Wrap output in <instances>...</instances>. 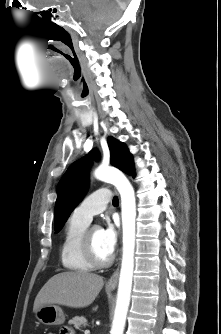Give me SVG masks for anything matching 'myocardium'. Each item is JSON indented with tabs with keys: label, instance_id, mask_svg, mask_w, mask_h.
<instances>
[{
	"label": "myocardium",
	"instance_id": "f54148a6",
	"mask_svg": "<svg viewBox=\"0 0 221 334\" xmlns=\"http://www.w3.org/2000/svg\"><path fill=\"white\" fill-rule=\"evenodd\" d=\"M96 226L87 227L82 236V251L86 259L90 262L93 267L104 268L112 264L114 260V253L112 252L107 258H100L96 253L93 239H92V230Z\"/></svg>",
	"mask_w": 221,
	"mask_h": 334
}]
</instances>
